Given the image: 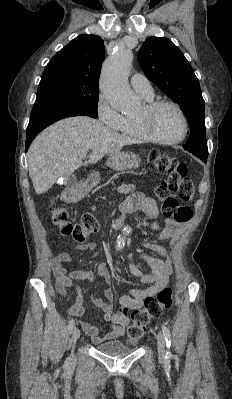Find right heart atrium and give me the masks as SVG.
Here are the masks:
<instances>
[{
    "label": "right heart atrium",
    "instance_id": "obj_1",
    "mask_svg": "<svg viewBox=\"0 0 232 399\" xmlns=\"http://www.w3.org/2000/svg\"><path fill=\"white\" fill-rule=\"evenodd\" d=\"M96 114L98 120H102V125H111V130L117 129L125 118L122 114L113 110L108 103H106V96H104V99L101 101V103L96 106Z\"/></svg>",
    "mask_w": 232,
    "mask_h": 399
}]
</instances>
